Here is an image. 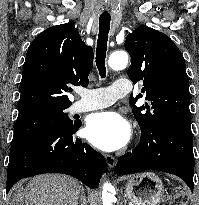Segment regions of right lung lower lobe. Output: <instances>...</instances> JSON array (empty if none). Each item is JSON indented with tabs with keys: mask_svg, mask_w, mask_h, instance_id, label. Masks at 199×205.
Here are the masks:
<instances>
[{
	"mask_svg": "<svg viewBox=\"0 0 199 205\" xmlns=\"http://www.w3.org/2000/svg\"><path fill=\"white\" fill-rule=\"evenodd\" d=\"M80 123L39 134L10 149L6 193L20 179L42 173L71 175L90 188H97L107 172L104 156L80 139L74 138Z\"/></svg>",
	"mask_w": 199,
	"mask_h": 205,
	"instance_id": "1",
	"label": "right lung lower lobe"
}]
</instances>
